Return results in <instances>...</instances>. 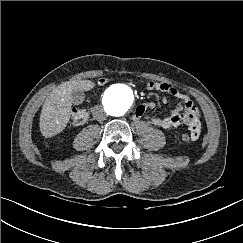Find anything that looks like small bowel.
Wrapping results in <instances>:
<instances>
[{"instance_id":"obj_1","label":"small bowel","mask_w":243,"mask_h":243,"mask_svg":"<svg viewBox=\"0 0 243 243\" xmlns=\"http://www.w3.org/2000/svg\"><path fill=\"white\" fill-rule=\"evenodd\" d=\"M146 88L150 91H159L165 94L172 95L180 100L176 110L164 117L150 116L147 110L154 108L153 102H147L137 107L135 115L137 117H146L154 125L162 128H171L180 125H185L189 129L192 136V141H196L202 132L201 116L198 107L182 93L176 86L168 83H160L157 81H150ZM162 101L167 102V97L163 96Z\"/></svg>"}]
</instances>
